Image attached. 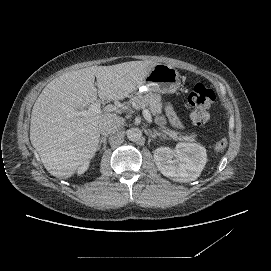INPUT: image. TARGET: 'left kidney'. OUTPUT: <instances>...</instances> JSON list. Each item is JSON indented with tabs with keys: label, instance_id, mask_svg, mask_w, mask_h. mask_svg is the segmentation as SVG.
<instances>
[{
	"label": "left kidney",
	"instance_id": "1",
	"mask_svg": "<svg viewBox=\"0 0 271 271\" xmlns=\"http://www.w3.org/2000/svg\"><path fill=\"white\" fill-rule=\"evenodd\" d=\"M154 161L166 177L179 182L196 180L207 162L206 149L196 143H178L174 150L159 147L154 151Z\"/></svg>",
	"mask_w": 271,
	"mask_h": 271
}]
</instances>
